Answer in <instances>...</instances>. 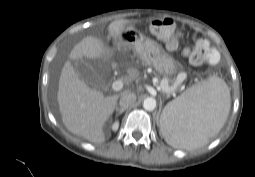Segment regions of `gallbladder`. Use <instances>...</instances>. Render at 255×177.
<instances>
[{
	"instance_id": "gallbladder-1",
	"label": "gallbladder",
	"mask_w": 255,
	"mask_h": 177,
	"mask_svg": "<svg viewBox=\"0 0 255 177\" xmlns=\"http://www.w3.org/2000/svg\"><path fill=\"white\" fill-rule=\"evenodd\" d=\"M73 65L79 75V77L89 85L96 86L99 83V76L95 73L90 64L82 59H76L73 61Z\"/></svg>"
}]
</instances>
